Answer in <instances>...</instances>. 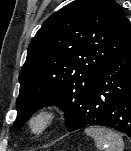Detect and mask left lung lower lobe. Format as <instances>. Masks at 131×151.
Segmentation results:
<instances>
[{"label":"left lung lower lobe","instance_id":"left-lung-lower-lobe-1","mask_svg":"<svg viewBox=\"0 0 131 151\" xmlns=\"http://www.w3.org/2000/svg\"><path fill=\"white\" fill-rule=\"evenodd\" d=\"M91 125L116 129L131 138V48L103 69L68 131Z\"/></svg>","mask_w":131,"mask_h":151}]
</instances>
